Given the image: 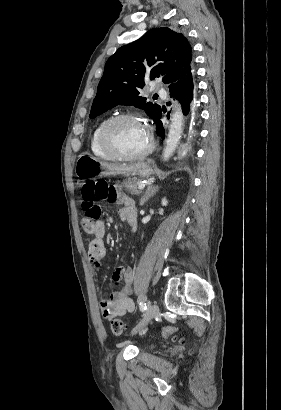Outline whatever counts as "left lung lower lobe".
<instances>
[{
	"mask_svg": "<svg viewBox=\"0 0 281 410\" xmlns=\"http://www.w3.org/2000/svg\"><path fill=\"white\" fill-rule=\"evenodd\" d=\"M194 71L189 72L175 84L169 86L170 88V96H175L176 99L180 100L182 104V110L184 115L187 116V123L188 125H193L196 117L195 107H194ZM161 114L162 110H160L159 114L154 120L157 128V134L164 139L165 131L161 122ZM169 118V113L167 115Z\"/></svg>",
	"mask_w": 281,
	"mask_h": 410,
	"instance_id": "left-lung-lower-lobe-1",
	"label": "left lung lower lobe"
}]
</instances>
